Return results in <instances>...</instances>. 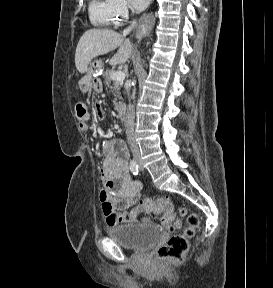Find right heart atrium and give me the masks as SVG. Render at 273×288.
<instances>
[{"instance_id": "1", "label": "right heart atrium", "mask_w": 273, "mask_h": 288, "mask_svg": "<svg viewBox=\"0 0 273 288\" xmlns=\"http://www.w3.org/2000/svg\"><path fill=\"white\" fill-rule=\"evenodd\" d=\"M117 24L126 21L132 12L127 0H107Z\"/></svg>"}]
</instances>
